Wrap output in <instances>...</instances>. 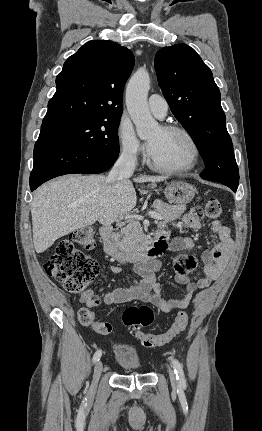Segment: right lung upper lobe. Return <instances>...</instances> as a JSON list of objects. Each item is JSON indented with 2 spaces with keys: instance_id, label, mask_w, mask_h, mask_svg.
<instances>
[{
  "instance_id": "obj_1",
  "label": "right lung upper lobe",
  "mask_w": 262,
  "mask_h": 431,
  "mask_svg": "<svg viewBox=\"0 0 262 431\" xmlns=\"http://www.w3.org/2000/svg\"><path fill=\"white\" fill-rule=\"evenodd\" d=\"M134 66L132 52L115 42L92 40L64 63L42 125L122 114L123 88ZM41 125V126H42Z\"/></svg>"
}]
</instances>
